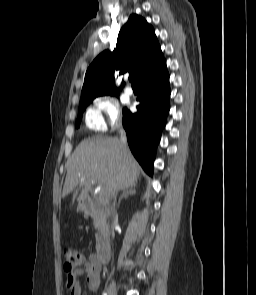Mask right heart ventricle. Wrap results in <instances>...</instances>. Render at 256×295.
<instances>
[{"mask_svg":"<svg viewBox=\"0 0 256 295\" xmlns=\"http://www.w3.org/2000/svg\"><path fill=\"white\" fill-rule=\"evenodd\" d=\"M86 125L91 130H99L102 128L95 111L92 109L88 110L86 114Z\"/></svg>","mask_w":256,"mask_h":295,"instance_id":"obj_1","label":"right heart ventricle"}]
</instances>
